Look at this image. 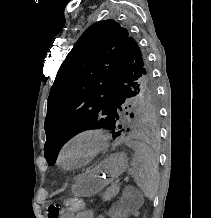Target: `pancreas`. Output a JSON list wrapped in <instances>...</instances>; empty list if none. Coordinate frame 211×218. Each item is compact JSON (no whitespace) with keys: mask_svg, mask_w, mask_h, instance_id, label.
<instances>
[{"mask_svg":"<svg viewBox=\"0 0 211 218\" xmlns=\"http://www.w3.org/2000/svg\"><path fill=\"white\" fill-rule=\"evenodd\" d=\"M120 184L119 182H112L111 188H107L106 192L103 194L104 202H109L111 198H115L119 192Z\"/></svg>","mask_w":211,"mask_h":218,"instance_id":"cf45deb5","label":"pancreas"}]
</instances>
